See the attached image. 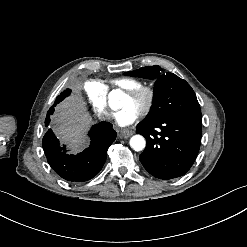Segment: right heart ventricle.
<instances>
[{
	"label": "right heart ventricle",
	"mask_w": 247,
	"mask_h": 247,
	"mask_svg": "<svg viewBox=\"0 0 247 247\" xmlns=\"http://www.w3.org/2000/svg\"><path fill=\"white\" fill-rule=\"evenodd\" d=\"M116 84L123 90L133 91L141 86V83L134 79H120Z\"/></svg>",
	"instance_id": "e07e8e85"
}]
</instances>
